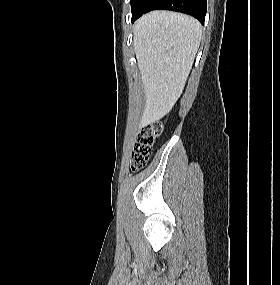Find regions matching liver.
Segmentation results:
<instances>
[{"label":"liver","mask_w":280,"mask_h":285,"mask_svg":"<svg viewBox=\"0 0 280 285\" xmlns=\"http://www.w3.org/2000/svg\"><path fill=\"white\" fill-rule=\"evenodd\" d=\"M201 30L193 17L171 11H153L135 23L133 45L145 94L140 127L161 119L182 94Z\"/></svg>","instance_id":"obj_1"}]
</instances>
